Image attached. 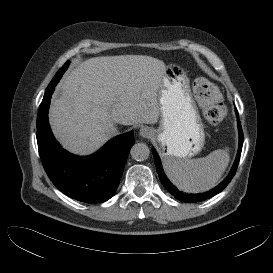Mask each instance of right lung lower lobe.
<instances>
[{"label": "right lung lower lobe", "instance_id": "1", "mask_svg": "<svg viewBox=\"0 0 273 273\" xmlns=\"http://www.w3.org/2000/svg\"><path fill=\"white\" fill-rule=\"evenodd\" d=\"M55 87L47 90L37 116V143L43 167L65 195L85 203L110 199L119 184L126 159L134 144L133 131L111 139L93 155L79 157L62 149L55 140L48 111Z\"/></svg>", "mask_w": 273, "mask_h": 273}]
</instances>
